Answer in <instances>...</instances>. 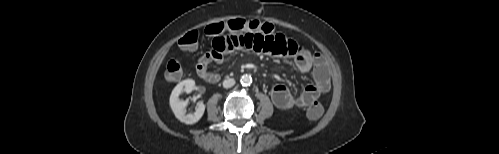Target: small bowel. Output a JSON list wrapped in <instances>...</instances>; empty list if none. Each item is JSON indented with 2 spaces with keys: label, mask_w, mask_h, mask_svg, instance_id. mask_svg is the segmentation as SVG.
Returning <instances> with one entry per match:
<instances>
[{
  "label": "small bowel",
  "mask_w": 499,
  "mask_h": 154,
  "mask_svg": "<svg viewBox=\"0 0 499 154\" xmlns=\"http://www.w3.org/2000/svg\"><path fill=\"white\" fill-rule=\"evenodd\" d=\"M237 50H252L273 57L291 58L297 70L312 73L314 83L306 86L297 96L282 84H276L271 89V99L281 110L308 107L330 89V72L325 58L281 33L263 34L247 30L230 31L213 37L210 50L197 61L198 75L208 82L217 81L219 75L210 71L209 66L222 63L225 55Z\"/></svg>",
  "instance_id": "1"
}]
</instances>
